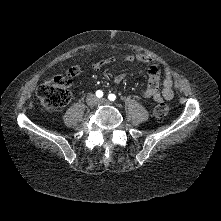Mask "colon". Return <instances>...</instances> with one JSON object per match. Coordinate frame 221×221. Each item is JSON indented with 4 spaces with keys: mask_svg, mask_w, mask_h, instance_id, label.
<instances>
[{
    "mask_svg": "<svg viewBox=\"0 0 221 221\" xmlns=\"http://www.w3.org/2000/svg\"><path fill=\"white\" fill-rule=\"evenodd\" d=\"M80 73V67L73 65L64 73L44 81L37 89V97L47 109H58L67 105L71 100L68 89L72 79ZM169 107L165 103H159L154 108V115L162 118L168 114Z\"/></svg>",
    "mask_w": 221,
    "mask_h": 221,
    "instance_id": "obj_1",
    "label": "colon"
}]
</instances>
